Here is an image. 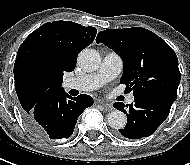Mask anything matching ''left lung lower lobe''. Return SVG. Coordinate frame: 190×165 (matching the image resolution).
<instances>
[{
  "label": "left lung lower lobe",
  "mask_w": 190,
  "mask_h": 165,
  "mask_svg": "<svg viewBox=\"0 0 190 165\" xmlns=\"http://www.w3.org/2000/svg\"><path fill=\"white\" fill-rule=\"evenodd\" d=\"M173 102L163 97L147 96L134 98L131 105L114 103L116 109L127 114V124L119 130L120 134L129 139L150 136L168 117Z\"/></svg>",
  "instance_id": "left-lung-lower-lobe-1"
}]
</instances>
